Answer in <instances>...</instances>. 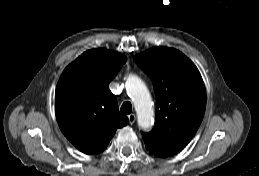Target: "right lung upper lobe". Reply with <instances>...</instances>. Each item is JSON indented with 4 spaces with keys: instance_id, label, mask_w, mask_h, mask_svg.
I'll use <instances>...</instances> for the list:
<instances>
[{
    "instance_id": "right-lung-upper-lobe-1",
    "label": "right lung upper lobe",
    "mask_w": 259,
    "mask_h": 176,
    "mask_svg": "<svg viewBox=\"0 0 259 176\" xmlns=\"http://www.w3.org/2000/svg\"><path fill=\"white\" fill-rule=\"evenodd\" d=\"M126 57L106 49L84 52L62 73L55 92L57 122L66 138L85 154H98L117 128L129 123L119 113L109 82Z\"/></svg>"
}]
</instances>
